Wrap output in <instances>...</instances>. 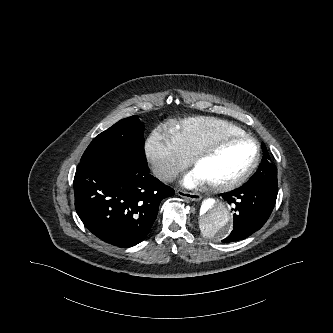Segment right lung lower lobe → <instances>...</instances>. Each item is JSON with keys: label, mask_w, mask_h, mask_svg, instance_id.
<instances>
[{"label": "right lung lower lobe", "mask_w": 333, "mask_h": 333, "mask_svg": "<svg viewBox=\"0 0 333 333\" xmlns=\"http://www.w3.org/2000/svg\"><path fill=\"white\" fill-rule=\"evenodd\" d=\"M74 194L85 227L107 243L128 248L145 239L160 202L174 190L154 178L148 166L99 161L78 165Z\"/></svg>", "instance_id": "obj_1"}]
</instances>
